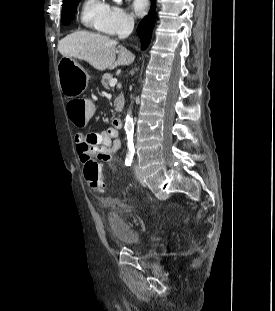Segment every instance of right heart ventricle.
<instances>
[{"mask_svg": "<svg viewBox=\"0 0 275 311\" xmlns=\"http://www.w3.org/2000/svg\"><path fill=\"white\" fill-rule=\"evenodd\" d=\"M108 6L104 0H84L80 12V20L83 26L92 31L102 32L100 23Z\"/></svg>", "mask_w": 275, "mask_h": 311, "instance_id": "obj_1", "label": "right heart ventricle"}]
</instances>
